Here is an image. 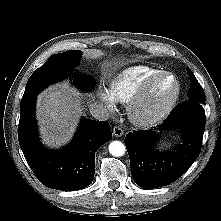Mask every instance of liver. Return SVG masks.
I'll return each mask as SVG.
<instances>
[{
    "instance_id": "6515ba94",
    "label": "liver",
    "mask_w": 221,
    "mask_h": 221,
    "mask_svg": "<svg viewBox=\"0 0 221 221\" xmlns=\"http://www.w3.org/2000/svg\"><path fill=\"white\" fill-rule=\"evenodd\" d=\"M36 108L43 143L50 147L66 144L82 111L79 93L66 83L50 86L37 96Z\"/></svg>"
}]
</instances>
